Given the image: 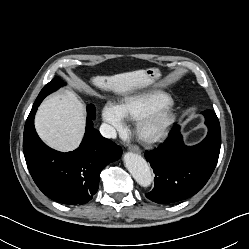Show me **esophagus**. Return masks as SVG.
Here are the masks:
<instances>
[{
	"instance_id": "obj_1",
	"label": "esophagus",
	"mask_w": 249,
	"mask_h": 249,
	"mask_svg": "<svg viewBox=\"0 0 249 249\" xmlns=\"http://www.w3.org/2000/svg\"><path fill=\"white\" fill-rule=\"evenodd\" d=\"M129 150L132 151V152H135L137 154H140L141 153V149L139 148V146L137 145H131L129 147Z\"/></svg>"
}]
</instances>
